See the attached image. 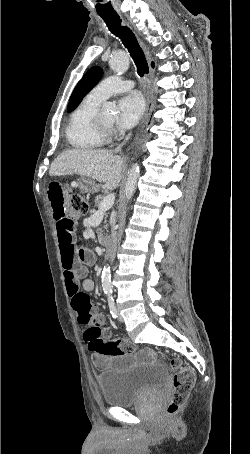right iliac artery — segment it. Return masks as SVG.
Returning a JSON list of instances; mask_svg holds the SVG:
<instances>
[{
    "label": "right iliac artery",
    "mask_w": 250,
    "mask_h": 454,
    "mask_svg": "<svg viewBox=\"0 0 250 454\" xmlns=\"http://www.w3.org/2000/svg\"><path fill=\"white\" fill-rule=\"evenodd\" d=\"M108 305H109V309H110V313L112 314V317L113 318H117V310H116V306H115L114 300L113 299H109L108 300Z\"/></svg>",
    "instance_id": "1"
}]
</instances>
